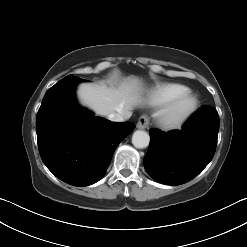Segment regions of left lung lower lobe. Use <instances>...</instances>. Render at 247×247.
I'll return each instance as SVG.
<instances>
[{"label":"left lung lower lobe","mask_w":247,"mask_h":247,"mask_svg":"<svg viewBox=\"0 0 247 247\" xmlns=\"http://www.w3.org/2000/svg\"><path fill=\"white\" fill-rule=\"evenodd\" d=\"M219 131V116L210 106L201 107L182 130H150L144 157L147 173L157 182L181 185L197 176L212 160Z\"/></svg>","instance_id":"obj_1"}]
</instances>
